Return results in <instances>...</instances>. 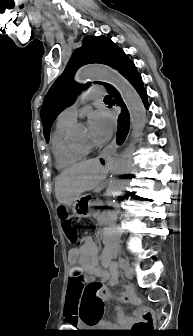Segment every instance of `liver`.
Here are the masks:
<instances>
[{
    "instance_id": "1",
    "label": "liver",
    "mask_w": 193,
    "mask_h": 336,
    "mask_svg": "<svg viewBox=\"0 0 193 336\" xmlns=\"http://www.w3.org/2000/svg\"><path fill=\"white\" fill-rule=\"evenodd\" d=\"M110 160L105 164L99 158L86 160L63 171L55 181V196L60 204L70 206L82 193L97 189L106 179Z\"/></svg>"
}]
</instances>
